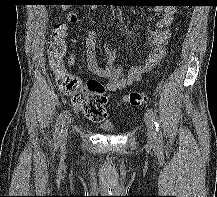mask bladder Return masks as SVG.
<instances>
[{"mask_svg": "<svg viewBox=\"0 0 217 197\" xmlns=\"http://www.w3.org/2000/svg\"><path fill=\"white\" fill-rule=\"evenodd\" d=\"M99 128L106 130V131H114L116 129L115 125L112 123L102 124Z\"/></svg>", "mask_w": 217, "mask_h": 197, "instance_id": "bladder-1", "label": "bladder"}]
</instances>
